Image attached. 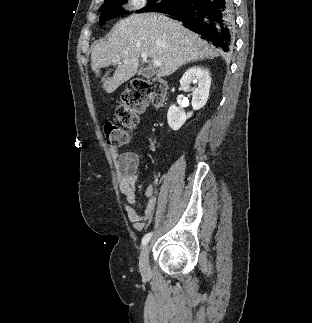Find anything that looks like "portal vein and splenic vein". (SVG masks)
<instances>
[{
  "instance_id": "portal-vein-and-splenic-vein-1",
  "label": "portal vein and splenic vein",
  "mask_w": 312,
  "mask_h": 323,
  "mask_svg": "<svg viewBox=\"0 0 312 323\" xmlns=\"http://www.w3.org/2000/svg\"><path fill=\"white\" fill-rule=\"evenodd\" d=\"M141 58L142 60H147L148 58V54H141ZM153 66H156V68H158V66H162L161 62H153Z\"/></svg>"
}]
</instances>
